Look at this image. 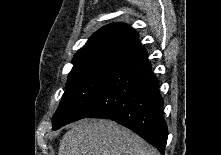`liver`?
I'll return each mask as SVG.
<instances>
[{"label": "liver", "mask_w": 221, "mask_h": 155, "mask_svg": "<svg viewBox=\"0 0 221 155\" xmlns=\"http://www.w3.org/2000/svg\"><path fill=\"white\" fill-rule=\"evenodd\" d=\"M58 155H159L134 132L110 120H80L72 125Z\"/></svg>", "instance_id": "6515ba94"}]
</instances>
